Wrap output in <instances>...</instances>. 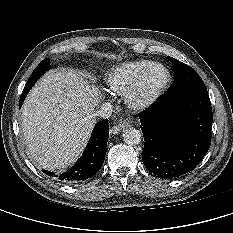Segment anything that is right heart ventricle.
<instances>
[{"label": "right heart ventricle", "mask_w": 233, "mask_h": 233, "mask_svg": "<svg viewBox=\"0 0 233 233\" xmlns=\"http://www.w3.org/2000/svg\"><path fill=\"white\" fill-rule=\"evenodd\" d=\"M153 64L155 62L145 59L118 64L105 72L104 82L111 91L124 94L136 79Z\"/></svg>", "instance_id": "right-heart-ventricle-1"}]
</instances>
